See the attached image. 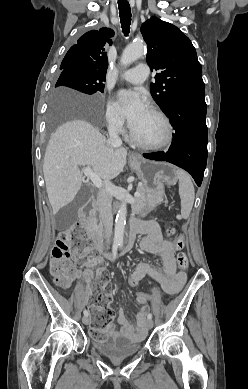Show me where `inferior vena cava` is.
<instances>
[{"label": "inferior vena cava", "instance_id": "obj_1", "mask_svg": "<svg viewBox=\"0 0 248 389\" xmlns=\"http://www.w3.org/2000/svg\"><path fill=\"white\" fill-rule=\"evenodd\" d=\"M109 139L107 142L113 147H119L122 145V140L119 137V130L115 122L109 124L108 127ZM111 189L112 183L108 180L105 181V188L100 190L97 198V205L100 212V218L104 226V235L106 243H110L113 226V215L111 207Z\"/></svg>", "mask_w": 248, "mask_h": 389}]
</instances>
